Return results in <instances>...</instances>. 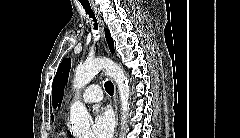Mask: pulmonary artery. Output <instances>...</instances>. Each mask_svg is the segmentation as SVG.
Returning a JSON list of instances; mask_svg holds the SVG:
<instances>
[{
    "label": "pulmonary artery",
    "instance_id": "pulmonary-artery-1",
    "mask_svg": "<svg viewBox=\"0 0 240 138\" xmlns=\"http://www.w3.org/2000/svg\"><path fill=\"white\" fill-rule=\"evenodd\" d=\"M102 98H103L102 89L97 84L89 86L81 97L82 101L87 104L99 103L102 100Z\"/></svg>",
    "mask_w": 240,
    "mask_h": 138
}]
</instances>
